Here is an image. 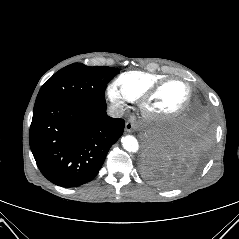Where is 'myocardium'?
I'll list each match as a JSON object with an SVG mask.
<instances>
[{
  "label": "myocardium",
  "mask_w": 239,
  "mask_h": 239,
  "mask_svg": "<svg viewBox=\"0 0 239 239\" xmlns=\"http://www.w3.org/2000/svg\"><path fill=\"white\" fill-rule=\"evenodd\" d=\"M173 82H181L187 88V96L183 104L173 112L170 113H161L155 112L150 108V104L152 100L170 83ZM192 99V87L189 82L179 79V78H166L161 82L157 83L153 87H151L141 98H140V108L143 114L152 120H168L173 119L181 114H183L188 106L190 105Z\"/></svg>",
  "instance_id": "myocardium-1"
}]
</instances>
